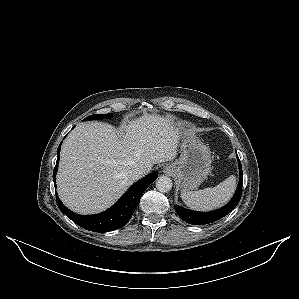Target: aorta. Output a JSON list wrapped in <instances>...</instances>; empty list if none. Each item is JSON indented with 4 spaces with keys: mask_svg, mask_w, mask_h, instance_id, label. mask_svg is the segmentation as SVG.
<instances>
[{
    "mask_svg": "<svg viewBox=\"0 0 299 299\" xmlns=\"http://www.w3.org/2000/svg\"><path fill=\"white\" fill-rule=\"evenodd\" d=\"M173 183L172 180L167 176H159L156 180V188L160 192H168L172 189Z\"/></svg>",
    "mask_w": 299,
    "mask_h": 299,
    "instance_id": "obj_1",
    "label": "aorta"
}]
</instances>
